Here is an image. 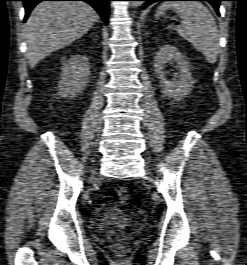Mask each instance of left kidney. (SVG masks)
Listing matches in <instances>:
<instances>
[{
	"instance_id": "5707ae66",
	"label": "left kidney",
	"mask_w": 247,
	"mask_h": 265,
	"mask_svg": "<svg viewBox=\"0 0 247 265\" xmlns=\"http://www.w3.org/2000/svg\"><path fill=\"white\" fill-rule=\"evenodd\" d=\"M167 62L176 63V68L179 71L176 79H166L165 65ZM154 68L164 95L179 101L189 94L193 87L191 65L176 47L168 44L163 45L155 56Z\"/></svg>"
}]
</instances>
